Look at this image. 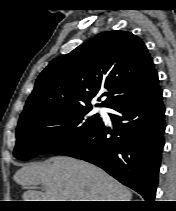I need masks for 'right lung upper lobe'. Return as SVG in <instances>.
Here are the masks:
<instances>
[{"mask_svg":"<svg viewBox=\"0 0 176 211\" xmlns=\"http://www.w3.org/2000/svg\"><path fill=\"white\" fill-rule=\"evenodd\" d=\"M158 85L153 60L131 32L109 31L52 60L36 80L20 118L51 109L91 107L103 89L108 108L135 100ZM100 100V99H98Z\"/></svg>","mask_w":176,"mask_h":211,"instance_id":"right-lung-upper-lobe-1","label":"right lung upper lobe"}]
</instances>
